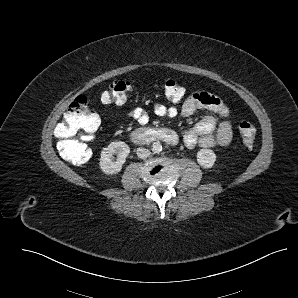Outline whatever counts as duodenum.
<instances>
[{
    "label": "duodenum",
    "instance_id": "obj_1",
    "mask_svg": "<svg viewBox=\"0 0 298 298\" xmlns=\"http://www.w3.org/2000/svg\"><path fill=\"white\" fill-rule=\"evenodd\" d=\"M130 138L137 144L160 141L175 145L178 142V136L174 131L162 128L138 129L131 133Z\"/></svg>",
    "mask_w": 298,
    "mask_h": 298
}]
</instances>
